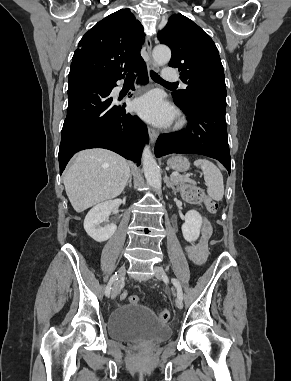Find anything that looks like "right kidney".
<instances>
[{
  "label": "right kidney",
  "mask_w": 291,
  "mask_h": 381,
  "mask_svg": "<svg viewBox=\"0 0 291 381\" xmlns=\"http://www.w3.org/2000/svg\"><path fill=\"white\" fill-rule=\"evenodd\" d=\"M121 203V199L102 202L88 212L84 220V229L92 239L97 242H103L115 233L117 226L115 224H107L108 216ZM103 223H106V225L102 226Z\"/></svg>",
  "instance_id": "right-kidney-1"
}]
</instances>
